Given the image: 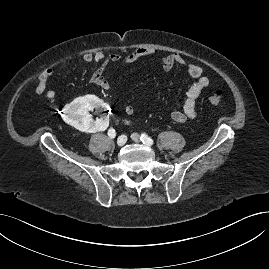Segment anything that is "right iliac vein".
<instances>
[{
    "label": "right iliac vein",
    "mask_w": 269,
    "mask_h": 269,
    "mask_svg": "<svg viewBox=\"0 0 269 269\" xmlns=\"http://www.w3.org/2000/svg\"><path fill=\"white\" fill-rule=\"evenodd\" d=\"M127 137L125 135H121L118 139H117V145L118 146H123L126 143Z\"/></svg>",
    "instance_id": "1"
}]
</instances>
